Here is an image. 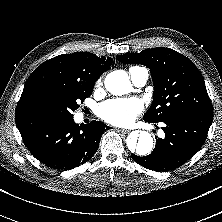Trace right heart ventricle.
Masks as SVG:
<instances>
[{
    "label": "right heart ventricle",
    "instance_id": "obj_1",
    "mask_svg": "<svg viewBox=\"0 0 222 222\" xmlns=\"http://www.w3.org/2000/svg\"><path fill=\"white\" fill-rule=\"evenodd\" d=\"M140 67H131L130 69H129V72L131 71V70H136V69H139Z\"/></svg>",
    "mask_w": 222,
    "mask_h": 222
}]
</instances>
